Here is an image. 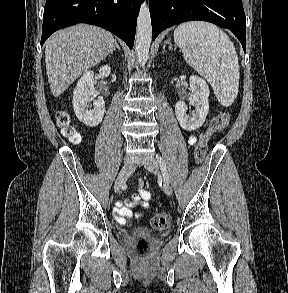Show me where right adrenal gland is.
Segmentation results:
<instances>
[{
	"mask_svg": "<svg viewBox=\"0 0 288 293\" xmlns=\"http://www.w3.org/2000/svg\"><path fill=\"white\" fill-rule=\"evenodd\" d=\"M115 48H117L118 50H121V48L119 47L117 42H115V47H114L113 51L115 50Z\"/></svg>",
	"mask_w": 288,
	"mask_h": 293,
	"instance_id": "2a0ac1e0",
	"label": "right adrenal gland"
}]
</instances>
